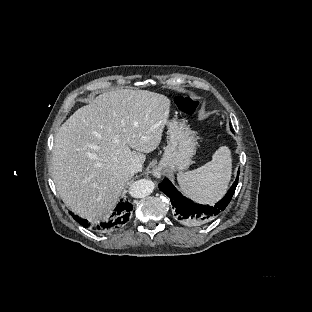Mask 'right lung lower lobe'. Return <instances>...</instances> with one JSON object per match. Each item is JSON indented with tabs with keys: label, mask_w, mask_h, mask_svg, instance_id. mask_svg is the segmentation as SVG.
Masks as SVG:
<instances>
[{
	"label": "right lung lower lobe",
	"mask_w": 312,
	"mask_h": 312,
	"mask_svg": "<svg viewBox=\"0 0 312 312\" xmlns=\"http://www.w3.org/2000/svg\"><path fill=\"white\" fill-rule=\"evenodd\" d=\"M133 206L128 200L121 199L114 212L111 215L109 221L93 224L86 219H82L70 212L72 217L84 227H91L92 230L101 233H108L121 227L129 220L130 212Z\"/></svg>",
	"instance_id": "98d812e1"
}]
</instances>
